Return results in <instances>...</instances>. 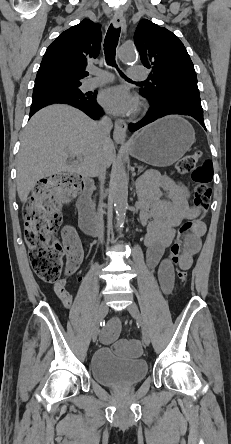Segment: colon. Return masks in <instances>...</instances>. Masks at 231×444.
Masks as SVG:
<instances>
[{"instance_id": "colon-1", "label": "colon", "mask_w": 231, "mask_h": 444, "mask_svg": "<svg viewBox=\"0 0 231 444\" xmlns=\"http://www.w3.org/2000/svg\"><path fill=\"white\" fill-rule=\"evenodd\" d=\"M201 152L196 150L181 157L175 164V171L180 175L190 174L195 184L194 204L200 211H205L210 203L212 168L209 161L199 164ZM82 179L75 175L59 174L43 180L28 202L24 236L29 248L31 265L37 276L47 283H58L65 276L71 275L81 262L82 255L70 251L56 238L61 224L60 208L69 202L82 188ZM195 227L191 221L184 222L178 237L171 246L173 262L179 264L183 249V238ZM187 269L178 267L180 281L187 279ZM118 347L128 348L132 353L140 352L138 341H121Z\"/></svg>"}]
</instances>
